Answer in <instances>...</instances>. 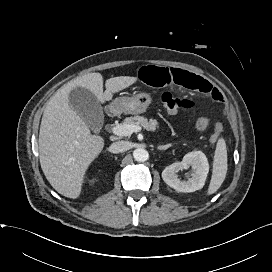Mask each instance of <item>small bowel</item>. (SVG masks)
Listing matches in <instances>:
<instances>
[{
  "mask_svg": "<svg viewBox=\"0 0 272 272\" xmlns=\"http://www.w3.org/2000/svg\"><path fill=\"white\" fill-rule=\"evenodd\" d=\"M139 80L152 87L178 86L210 95L214 100L222 99L221 93L207 80L199 75L178 68L159 66H143L138 73ZM210 124L207 117H200L195 122V128L205 130Z\"/></svg>",
  "mask_w": 272,
  "mask_h": 272,
  "instance_id": "obj_1",
  "label": "small bowel"
}]
</instances>
